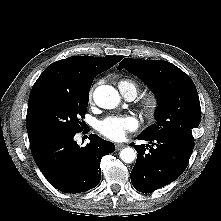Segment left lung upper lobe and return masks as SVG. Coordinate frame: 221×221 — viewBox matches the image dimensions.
<instances>
[{
  "label": "left lung upper lobe",
  "instance_id": "left-lung-upper-lobe-1",
  "mask_svg": "<svg viewBox=\"0 0 221 221\" xmlns=\"http://www.w3.org/2000/svg\"><path fill=\"white\" fill-rule=\"evenodd\" d=\"M126 68L153 90L158 100L156 124L142 134L171 137L194 145L193 128L200 124L201 108L191 78L170 62L125 58L118 70Z\"/></svg>",
  "mask_w": 221,
  "mask_h": 221
}]
</instances>
